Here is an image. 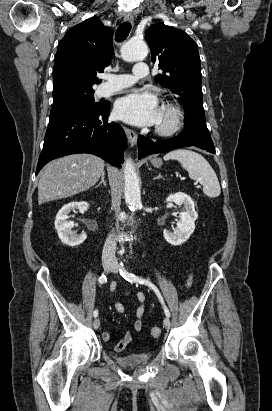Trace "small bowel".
I'll use <instances>...</instances> for the list:
<instances>
[{
	"mask_svg": "<svg viewBox=\"0 0 272 411\" xmlns=\"http://www.w3.org/2000/svg\"><path fill=\"white\" fill-rule=\"evenodd\" d=\"M116 289V284L113 283L111 285V291H115ZM127 295H131L130 292H126ZM135 297L139 303L136 313H135V319H134V324L133 328L135 332H140L142 329V317L144 314V304H145V295L142 291H137L135 293ZM114 307L115 310L120 313L124 314L125 313V307L123 306L122 303L115 301L114 302ZM111 339V335L109 333H104L103 334V340L104 341H109ZM133 339V332L132 331H127L121 340L115 345L114 349L116 352H122L126 348L127 344Z\"/></svg>",
	"mask_w": 272,
	"mask_h": 411,
	"instance_id": "obj_1",
	"label": "small bowel"
}]
</instances>
